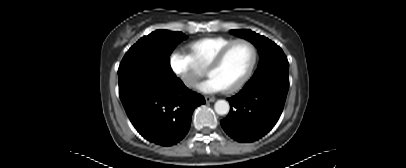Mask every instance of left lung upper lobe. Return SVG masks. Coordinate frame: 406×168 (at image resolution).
Segmentation results:
<instances>
[{
    "label": "left lung upper lobe",
    "instance_id": "1",
    "mask_svg": "<svg viewBox=\"0 0 406 168\" xmlns=\"http://www.w3.org/2000/svg\"><path fill=\"white\" fill-rule=\"evenodd\" d=\"M231 33L247 39L259 51V65L250 80L263 77H277L288 80L289 63L279 46L268 38L260 36L251 30H231Z\"/></svg>",
    "mask_w": 406,
    "mask_h": 168
}]
</instances>
